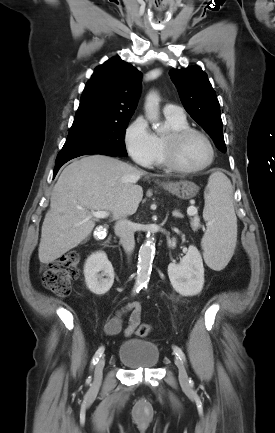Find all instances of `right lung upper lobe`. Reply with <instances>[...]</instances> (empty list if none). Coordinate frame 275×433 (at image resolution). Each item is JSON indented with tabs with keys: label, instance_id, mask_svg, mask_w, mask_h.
<instances>
[{
	"label": "right lung upper lobe",
	"instance_id": "cb5924a9",
	"mask_svg": "<svg viewBox=\"0 0 275 433\" xmlns=\"http://www.w3.org/2000/svg\"><path fill=\"white\" fill-rule=\"evenodd\" d=\"M141 73L118 57L96 67L81 96L74 120L130 119L141 88Z\"/></svg>",
	"mask_w": 275,
	"mask_h": 433
}]
</instances>
